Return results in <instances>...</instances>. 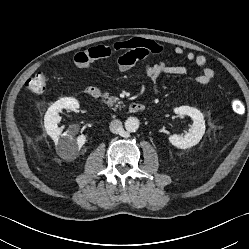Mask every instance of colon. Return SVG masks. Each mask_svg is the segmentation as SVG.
Returning <instances> with one entry per match:
<instances>
[{"mask_svg":"<svg viewBox=\"0 0 249 249\" xmlns=\"http://www.w3.org/2000/svg\"><path fill=\"white\" fill-rule=\"evenodd\" d=\"M47 77L43 73H37L29 78L26 82V88L34 94H42L46 89ZM244 103L240 98H233L231 100V109L235 114H242L244 112Z\"/></svg>","mask_w":249,"mask_h":249,"instance_id":"5ec220e1","label":"colon"}]
</instances>
